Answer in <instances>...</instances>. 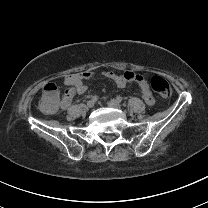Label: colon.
Segmentation results:
<instances>
[{
	"label": "colon",
	"instance_id": "5ec220e1",
	"mask_svg": "<svg viewBox=\"0 0 208 208\" xmlns=\"http://www.w3.org/2000/svg\"><path fill=\"white\" fill-rule=\"evenodd\" d=\"M151 87L157 95L162 98H170L172 90L168 81L161 77L155 76L151 79ZM44 99L39 101V108L47 112H54L59 105L60 89L55 83H48L43 88ZM165 102V101H163Z\"/></svg>",
	"mask_w": 208,
	"mask_h": 208
}]
</instances>
